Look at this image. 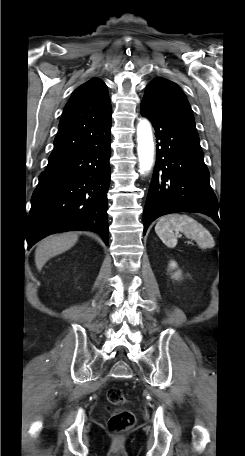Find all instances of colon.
<instances>
[{
    "label": "colon",
    "instance_id": "5ec220e1",
    "mask_svg": "<svg viewBox=\"0 0 245 456\" xmlns=\"http://www.w3.org/2000/svg\"><path fill=\"white\" fill-rule=\"evenodd\" d=\"M108 402L117 407L108 421V428L111 432L121 433L131 429L135 422V414L122 406L126 403V399L121 389L112 387L107 391Z\"/></svg>",
    "mask_w": 245,
    "mask_h": 456
}]
</instances>
